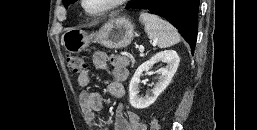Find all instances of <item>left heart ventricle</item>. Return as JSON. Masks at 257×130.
Listing matches in <instances>:
<instances>
[{"instance_id":"b2bd125f","label":"left heart ventricle","mask_w":257,"mask_h":130,"mask_svg":"<svg viewBox=\"0 0 257 130\" xmlns=\"http://www.w3.org/2000/svg\"><path fill=\"white\" fill-rule=\"evenodd\" d=\"M113 0H86L85 5L91 12H97L106 7Z\"/></svg>"}]
</instances>
